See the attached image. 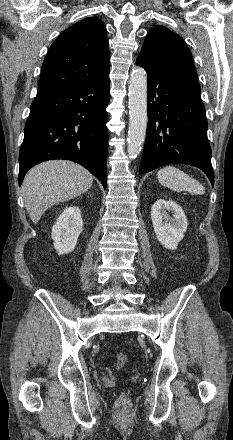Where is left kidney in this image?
Instances as JSON below:
<instances>
[{
  "label": "left kidney",
  "mask_w": 233,
  "mask_h": 440,
  "mask_svg": "<svg viewBox=\"0 0 233 440\" xmlns=\"http://www.w3.org/2000/svg\"><path fill=\"white\" fill-rule=\"evenodd\" d=\"M151 219L157 240L166 249L175 250L188 225L183 209L172 200L159 199L151 207Z\"/></svg>",
  "instance_id": "left-kidney-1"
}]
</instances>
